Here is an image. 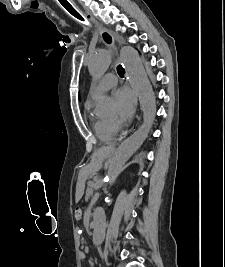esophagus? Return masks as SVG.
Listing matches in <instances>:
<instances>
[{"instance_id": "1", "label": "esophagus", "mask_w": 225, "mask_h": 267, "mask_svg": "<svg viewBox=\"0 0 225 267\" xmlns=\"http://www.w3.org/2000/svg\"><path fill=\"white\" fill-rule=\"evenodd\" d=\"M104 34H107V35L110 37V39L104 38ZM101 36H102L104 42H105L109 47H111L115 52H117V44H116V42H115V39H114L113 36L111 35V33H109V32L106 31V30H103V31L101 32ZM128 133H129V131H125V132H123V133L119 136V138L117 139V141H118V142L122 141V140L128 135ZM114 149H115V144H110V145L108 146V151H109V152H113Z\"/></svg>"}]
</instances>
